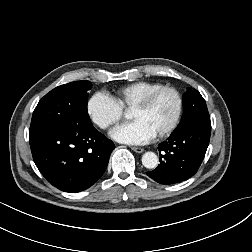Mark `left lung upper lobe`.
I'll return each mask as SVG.
<instances>
[{
  "instance_id": "1",
  "label": "left lung upper lobe",
  "mask_w": 252,
  "mask_h": 252,
  "mask_svg": "<svg viewBox=\"0 0 252 252\" xmlns=\"http://www.w3.org/2000/svg\"><path fill=\"white\" fill-rule=\"evenodd\" d=\"M182 100L183 116L174 132L197 124L211 125L205 100L197 90L188 88Z\"/></svg>"
}]
</instances>
